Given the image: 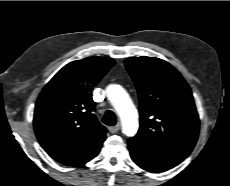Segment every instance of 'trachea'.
I'll list each match as a JSON object with an SVG mask.
<instances>
[{
    "instance_id": "1",
    "label": "trachea",
    "mask_w": 230,
    "mask_h": 186,
    "mask_svg": "<svg viewBox=\"0 0 230 186\" xmlns=\"http://www.w3.org/2000/svg\"><path fill=\"white\" fill-rule=\"evenodd\" d=\"M116 116L111 110H107L102 119V122L108 126H114L116 124Z\"/></svg>"
}]
</instances>
